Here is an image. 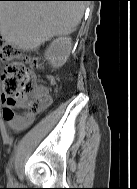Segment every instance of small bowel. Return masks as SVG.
Returning <instances> with one entry per match:
<instances>
[{"label": "small bowel", "mask_w": 137, "mask_h": 189, "mask_svg": "<svg viewBox=\"0 0 137 189\" xmlns=\"http://www.w3.org/2000/svg\"><path fill=\"white\" fill-rule=\"evenodd\" d=\"M35 82V77H33ZM47 81L50 85L55 84V79L52 76H47ZM35 96L39 99L40 107L38 110L44 109L52 103V98L48 93V89L44 86L35 83ZM20 109L21 112H16L14 109ZM38 110H30L26 103V97H14L7 99L3 117L7 121L8 126L14 132H22L27 129L35 120Z\"/></svg>", "instance_id": "obj_1"}]
</instances>
